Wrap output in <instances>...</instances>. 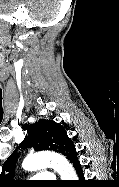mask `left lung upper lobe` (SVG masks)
<instances>
[{"mask_svg": "<svg viewBox=\"0 0 119 187\" xmlns=\"http://www.w3.org/2000/svg\"><path fill=\"white\" fill-rule=\"evenodd\" d=\"M26 130L27 134L18 148L34 147L37 151H55L67 158L71 147L74 145L65 128L53 120L40 119L27 126ZM18 156L19 154L15 150L4 162L0 173V187H14L20 183V181L12 180Z\"/></svg>", "mask_w": 119, "mask_h": 187, "instance_id": "1", "label": "left lung upper lobe"}]
</instances>
